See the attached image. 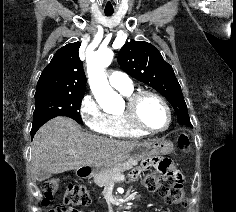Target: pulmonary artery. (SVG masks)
Returning a JSON list of instances; mask_svg holds the SVG:
<instances>
[{"instance_id":"pulmonary-artery-1","label":"pulmonary artery","mask_w":236,"mask_h":212,"mask_svg":"<svg viewBox=\"0 0 236 212\" xmlns=\"http://www.w3.org/2000/svg\"><path fill=\"white\" fill-rule=\"evenodd\" d=\"M109 83L116 89L127 88L132 85L129 76L123 72L112 71L109 75Z\"/></svg>"}]
</instances>
